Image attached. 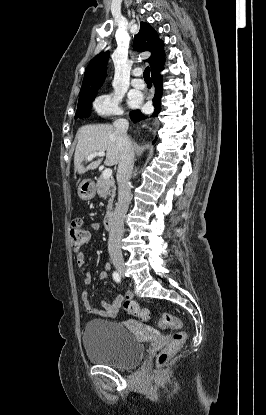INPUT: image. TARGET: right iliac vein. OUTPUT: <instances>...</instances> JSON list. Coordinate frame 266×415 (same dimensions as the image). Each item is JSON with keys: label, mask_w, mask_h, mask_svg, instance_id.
<instances>
[{"label": "right iliac vein", "mask_w": 266, "mask_h": 415, "mask_svg": "<svg viewBox=\"0 0 266 415\" xmlns=\"http://www.w3.org/2000/svg\"><path fill=\"white\" fill-rule=\"evenodd\" d=\"M113 264L116 268V270L123 275L125 273L126 267L124 264V261L121 258H115L113 259Z\"/></svg>", "instance_id": "obj_1"}]
</instances>
